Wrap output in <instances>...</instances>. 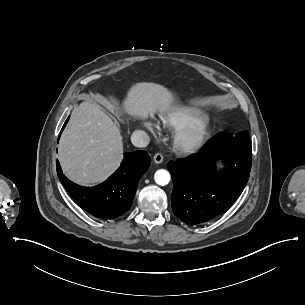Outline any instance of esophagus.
I'll return each instance as SVG.
<instances>
[{
    "mask_svg": "<svg viewBox=\"0 0 305 305\" xmlns=\"http://www.w3.org/2000/svg\"><path fill=\"white\" fill-rule=\"evenodd\" d=\"M153 158L156 164H160L163 161V155L161 153H156Z\"/></svg>",
    "mask_w": 305,
    "mask_h": 305,
    "instance_id": "1",
    "label": "esophagus"
}]
</instances>
